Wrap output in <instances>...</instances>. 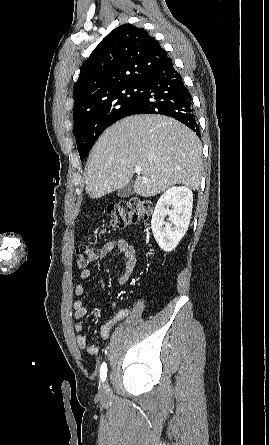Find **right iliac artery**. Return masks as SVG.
<instances>
[{
  "label": "right iliac artery",
  "mask_w": 269,
  "mask_h": 445,
  "mask_svg": "<svg viewBox=\"0 0 269 445\" xmlns=\"http://www.w3.org/2000/svg\"><path fill=\"white\" fill-rule=\"evenodd\" d=\"M107 376V364L103 363L100 368V378L101 381L104 382Z\"/></svg>",
  "instance_id": "1"
}]
</instances>
